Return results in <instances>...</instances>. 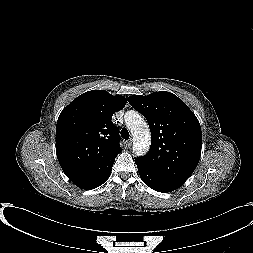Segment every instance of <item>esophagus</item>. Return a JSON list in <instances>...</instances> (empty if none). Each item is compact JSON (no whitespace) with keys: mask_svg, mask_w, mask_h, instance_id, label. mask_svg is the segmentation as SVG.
Masks as SVG:
<instances>
[{"mask_svg":"<svg viewBox=\"0 0 253 253\" xmlns=\"http://www.w3.org/2000/svg\"><path fill=\"white\" fill-rule=\"evenodd\" d=\"M127 146H128L129 148L132 146V139H129V140L127 141Z\"/></svg>","mask_w":253,"mask_h":253,"instance_id":"obj_1","label":"esophagus"}]
</instances>
